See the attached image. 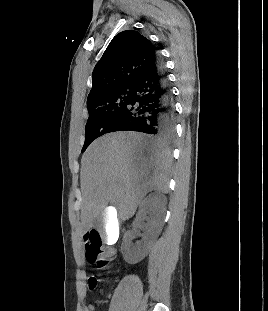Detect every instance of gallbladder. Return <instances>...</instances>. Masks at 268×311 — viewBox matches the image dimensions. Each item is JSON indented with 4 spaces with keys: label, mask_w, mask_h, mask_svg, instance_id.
Instances as JSON below:
<instances>
[{
    "label": "gallbladder",
    "mask_w": 268,
    "mask_h": 311,
    "mask_svg": "<svg viewBox=\"0 0 268 311\" xmlns=\"http://www.w3.org/2000/svg\"><path fill=\"white\" fill-rule=\"evenodd\" d=\"M116 210V205H107L106 209H102L101 217L95 223V227L99 228V233L105 239V246H114L116 239H120Z\"/></svg>",
    "instance_id": "1"
}]
</instances>
